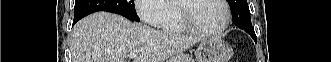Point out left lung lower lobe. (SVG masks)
<instances>
[{
	"instance_id": "0a47b994",
	"label": "left lung lower lobe",
	"mask_w": 331,
	"mask_h": 62,
	"mask_svg": "<svg viewBox=\"0 0 331 62\" xmlns=\"http://www.w3.org/2000/svg\"><path fill=\"white\" fill-rule=\"evenodd\" d=\"M251 36L256 41V35H251Z\"/></svg>"
}]
</instances>
